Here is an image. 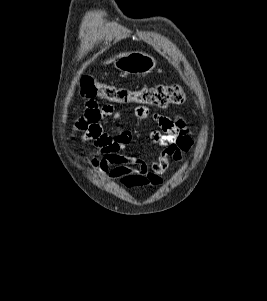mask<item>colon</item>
I'll list each match as a JSON object with an SVG mask.
<instances>
[{
  "label": "colon",
  "instance_id": "obj_1",
  "mask_svg": "<svg viewBox=\"0 0 267 301\" xmlns=\"http://www.w3.org/2000/svg\"><path fill=\"white\" fill-rule=\"evenodd\" d=\"M80 94L84 98H103L114 103H139L158 109L171 105H180L185 100V94L179 85H156L131 90L95 81L85 76L80 81Z\"/></svg>",
  "mask_w": 267,
  "mask_h": 301
}]
</instances>
